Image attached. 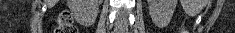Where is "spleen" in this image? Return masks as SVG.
<instances>
[{"label": "spleen", "mask_w": 235, "mask_h": 33, "mask_svg": "<svg viewBox=\"0 0 235 33\" xmlns=\"http://www.w3.org/2000/svg\"><path fill=\"white\" fill-rule=\"evenodd\" d=\"M186 9H187V11L190 12V13H193V12L196 13V12H197V10L192 11V10L189 9V8H186Z\"/></svg>", "instance_id": "3e777b00"}]
</instances>
